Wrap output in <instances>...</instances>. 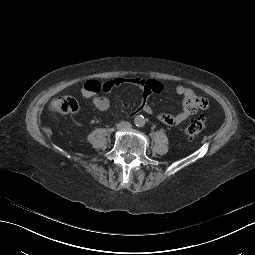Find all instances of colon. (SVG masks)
Returning a JSON list of instances; mask_svg holds the SVG:
<instances>
[{
    "instance_id": "1",
    "label": "colon",
    "mask_w": 255,
    "mask_h": 255,
    "mask_svg": "<svg viewBox=\"0 0 255 255\" xmlns=\"http://www.w3.org/2000/svg\"><path fill=\"white\" fill-rule=\"evenodd\" d=\"M49 109L58 114H75L79 110V103L72 96H58L50 102ZM205 128V119L203 117L195 118L186 127L185 134L189 138H194L202 133Z\"/></svg>"
}]
</instances>
